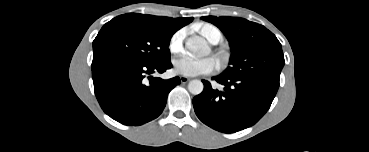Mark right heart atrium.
<instances>
[{
    "label": "right heart atrium",
    "mask_w": 369,
    "mask_h": 152,
    "mask_svg": "<svg viewBox=\"0 0 369 152\" xmlns=\"http://www.w3.org/2000/svg\"><path fill=\"white\" fill-rule=\"evenodd\" d=\"M185 38V32L178 30L175 32L169 41V50L172 54H179L183 49V42Z\"/></svg>",
    "instance_id": "right-heart-atrium-1"
}]
</instances>
